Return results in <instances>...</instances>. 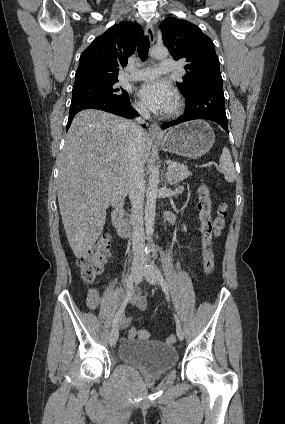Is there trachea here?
Instances as JSON below:
<instances>
[{"instance_id":"3493384b","label":"trachea","mask_w":285,"mask_h":424,"mask_svg":"<svg viewBox=\"0 0 285 424\" xmlns=\"http://www.w3.org/2000/svg\"><path fill=\"white\" fill-rule=\"evenodd\" d=\"M138 55L142 61L147 59V53L149 50V37L143 36L138 41Z\"/></svg>"}]
</instances>
